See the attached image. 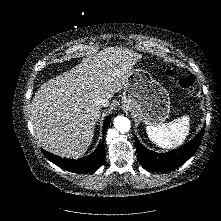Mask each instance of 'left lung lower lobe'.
Returning <instances> with one entry per match:
<instances>
[{"label": "left lung lower lobe", "mask_w": 221, "mask_h": 221, "mask_svg": "<svg viewBox=\"0 0 221 221\" xmlns=\"http://www.w3.org/2000/svg\"><path fill=\"white\" fill-rule=\"evenodd\" d=\"M204 129L186 145L168 153H156L145 148L135 137L139 163L154 172L169 171L185 163L201 144Z\"/></svg>", "instance_id": "1"}]
</instances>
